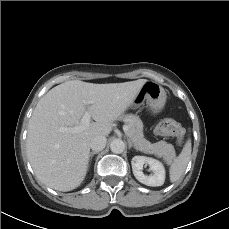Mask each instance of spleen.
<instances>
[{
    "label": "spleen",
    "instance_id": "1",
    "mask_svg": "<svg viewBox=\"0 0 229 229\" xmlns=\"http://www.w3.org/2000/svg\"><path fill=\"white\" fill-rule=\"evenodd\" d=\"M191 151H192L191 140L189 139L185 143L179 156L176 157L170 165L169 174H170L171 182H176L183 175L187 167V164L190 160Z\"/></svg>",
    "mask_w": 229,
    "mask_h": 229
}]
</instances>
